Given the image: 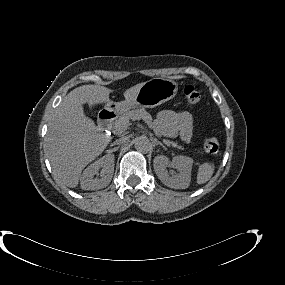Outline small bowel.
Here are the masks:
<instances>
[{
    "label": "small bowel",
    "mask_w": 285,
    "mask_h": 285,
    "mask_svg": "<svg viewBox=\"0 0 285 285\" xmlns=\"http://www.w3.org/2000/svg\"><path fill=\"white\" fill-rule=\"evenodd\" d=\"M155 126L165 136L179 135L185 142L193 139V118L188 112L161 111L156 115Z\"/></svg>",
    "instance_id": "small-bowel-1"
}]
</instances>
